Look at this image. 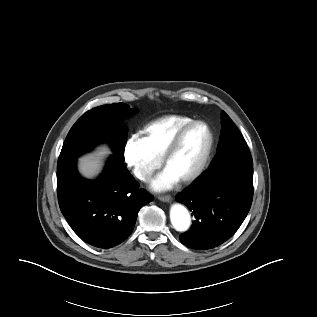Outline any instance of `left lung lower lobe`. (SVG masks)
I'll return each instance as SVG.
<instances>
[{
    "mask_svg": "<svg viewBox=\"0 0 317 317\" xmlns=\"http://www.w3.org/2000/svg\"><path fill=\"white\" fill-rule=\"evenodd\" d=\"M195 217L179 236L189 248L206 250L231 237L246 218L253 199V166L231 163L220 171L204 172L176 196Z\"/></svg>",
    "mask_w": 317,
    "mask_h": 317,
    "instance_id": "1",
    "label": "left lung lower lobe"
}]
</instances>
